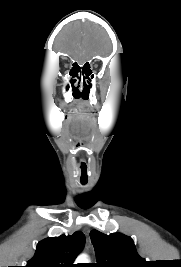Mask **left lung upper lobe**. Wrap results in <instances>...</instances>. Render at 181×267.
<instances>
[{
	"instance_id": "obj_1",
	"label": "left lung upper lobe",
	"mask_w": 181,
	"mask_h": 267,
	"mask_svg": "<svg viewBox=\"0 0 181 267\" xmlns=\"http://www.w3.org/2000/svg\"><path fill=\"white\" fill-rule=\"evenodd\" d=\"M97 263L92 267H147L131 237L121 233L105 235L97 230L90 232Z\"/></svg>"
}]
</instances>
